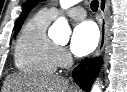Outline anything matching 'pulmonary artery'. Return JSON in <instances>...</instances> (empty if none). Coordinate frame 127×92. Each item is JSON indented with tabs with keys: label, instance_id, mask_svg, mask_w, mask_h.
Masks as SVG:
<instances>
[{
	"label": "pulmonary artery",
	"instance_id": "pulmonary-artery-1",
	"mask_svg": "<svg viewBox=\"0 0 127 92\" xmlns=\"http://www.w3.org/2000/svg\"><path fill=\"white\" fill-rule=\"evenodd\" d=\"M45 11L48 12L53 18L59 16L62 13H66L70 17L77 19V20H81L86 17L85 10L80 6L72 7L67 10H63L57 7H51L49 9H45Z\"/></svg>",
	"mask_w": 127,
	"mask_h": 92
}]
</instances>
